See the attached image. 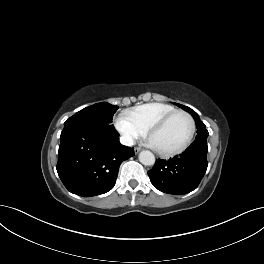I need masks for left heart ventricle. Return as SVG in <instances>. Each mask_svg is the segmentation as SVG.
Listing matches in <instances>:
<instances>
[{"mask_svg": "<svg viewBox=\"0 0 264 264\" xmlns=\"http://www.w3.org/2000/svg\"><path fill=\"white\" fill-rule=\"evenodd\" d=\"M191 124L184 115H177L167 125L155 133L151 142L162 151L171 150L181 146L189 136Z\"/></svg>", "mask_w": 264, "mask_h": 264, "instance_id": "obj_1", "label": "left heart ventricle"}]
</instances>
